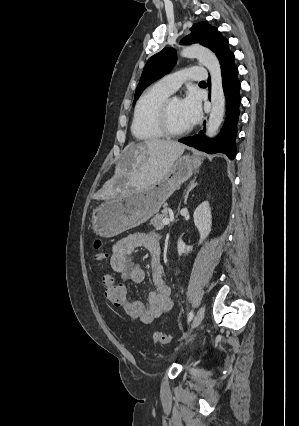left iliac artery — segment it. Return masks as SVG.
Listing matches in <instances>:
<instances>
[{
	"mask_svg": "<svg viewBox=\"0 0 299 426\" xmlns=\"http://www.w3.org/2000/svg\"><path fill=\"white\" fill-rule=\"evenodd\" d=\"M193 316H194V313H193V310H191L187 318L188 323L193 319Z\"/></svg>",
	"mask_w": 299,
	"mask_h": 426,
	"instance_id": "44dca946",
	"label": "left iliac artery"
}]
</instances>
